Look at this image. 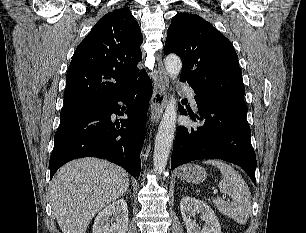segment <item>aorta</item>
Returning a JSON list of instances; mask_svg holds the SVG:
<instances>
[{
    "label": "aorta",
    "mask_w": 306,
    "mask_h": 233,
    "mask_svg": "<svg viewBox=\"0 0 306 233\" xmlns=\"http://www.w3.org/2000/svg\"><path fill=\"white\" fill-rule=\"evenodd\" d=\"M165 68L168 75L174 79L181 72L182 61L177 55H168L165 59ZM176 102L177 99L171 95L155 139L153 165L154 170L159 174L164 171L167 165L174 139L177 117Z\"/></svg>",
    "instance_id": "1"
}]
</instances>
